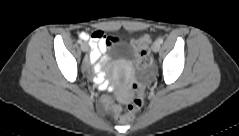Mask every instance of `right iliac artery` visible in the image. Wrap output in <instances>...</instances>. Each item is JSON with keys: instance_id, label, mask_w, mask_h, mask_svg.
<instances>
[{"instance_id": "obj_1", "label": "right iliac artery", "mask_w": 239, "mask_h": 136, "mask_svg": "<svg viewBox=\"0 0 239 136\" xmlns=\"http://www.w3.org/2000/svg\"><path fill=\"white\" fill-rule=\"evenodd\" d=\"M78 43L81 45L83 42H82V40H78Z\"/></svg>"}]
</instances>
